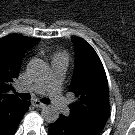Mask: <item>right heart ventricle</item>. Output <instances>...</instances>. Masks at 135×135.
<instances>
[{
  "label": "right heart ventricle",
  "mask_w": 135,
  "mask_h": 135,
  "mask_svg": "<svg viewBox=\"0 0 135 135\" xmlns=\"http://www.w3.org/2000/svg\"><path fill=\"white\" fill-rule=\"evenodd\" d=\"M67 58H68V56H67L66 52L57 51L53 56V62H58V61L66 62Z\"/></svg>",
  "instance_id": "right-heart-ventricle-1"
}]
</instances>
